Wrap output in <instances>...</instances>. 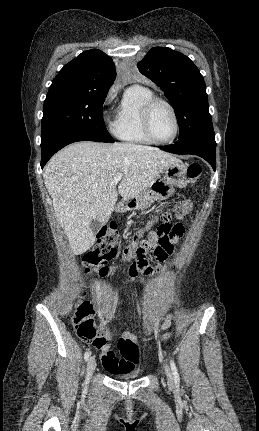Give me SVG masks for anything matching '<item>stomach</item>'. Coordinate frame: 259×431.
I'll use <instances>...</instances> for the list:
<instances>
[{
	"mask_svg": "<svg viewBox=\"0 0 259 431\" xmlns=\"http://www.w3.org/2000/svg\"><path fill=\"white\" fill-rule=\"evenodd\" d=\"M187 166L182 162H175L163 170V178L155 179L135 198L127 200L122 210L146 209L155 201L165 200L175 193V187L187 185Z\"/></svg>",
	"mask_w": 259,
	"mask_h": 431,
	"instance_id": "obj_1",
	"label": "stomach"
}]
</instances>
